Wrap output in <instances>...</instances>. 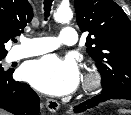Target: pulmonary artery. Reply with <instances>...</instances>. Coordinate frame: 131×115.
Masks as SVG:
<instances>
[{
	"mask_svg": "<svg viewBox=\"0 0 131 115\" xmlns=\"http://www.w3.org/2000/svg\"><path fill=\"white\" fill-rule=\"evenodd\" d=\"M77 32L73 27H64L59 36V41L64 45H74L77 42ZM58 40L52 37H34L22 40V45L13 51L12 58L15 60L40 55L54 50Z\"/></svg>",
	"mask_w": 131,
	"mask_h": 115,
	"instance_id": "pulmonary-artery-1",
	"label": "pulmonary artery"
}]
</instances>
